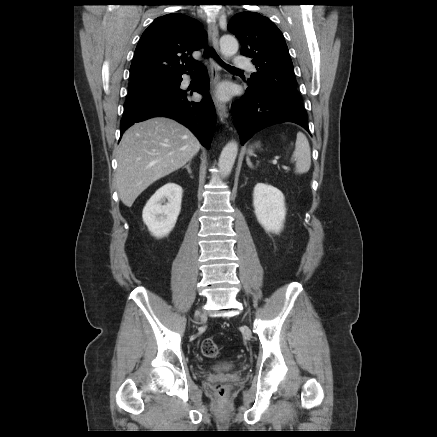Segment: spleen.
Returning <instances> with one entry per match:
<instances>
[{
	"mask_svg": "<svg viewBox=\"0 0 437 437\" xmlns=\"http://www.w3.org/2000/svg\"><path fill=\"white\" fill-rule=\"evenodd\" d=\"M292 160L295 161V173L303 174L309 171L311 166V150L308 139L302 132L297 133ZM246 161L248 166L252 167L250 159L247 158Z\"/></svg>",
	"mask_w": 437,
	"mask_h": 437,
	"instance_id": "spleen-1",
	"label": "spleen"
}]
</instances>
